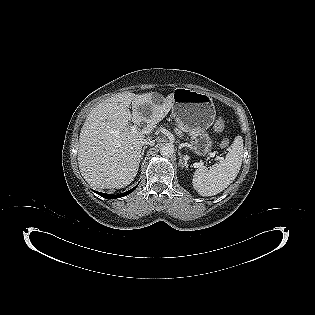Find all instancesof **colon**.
<instances>
[{"label":"colon","mask_w":315,"mask_h":315,"mask_svg":"<svg viewBox=\"0 0 315 315\" xmlns=\"http://www.w3.org/2000/svg\"><path fill=\"white\" fill-rule=\"evenodd\" d=\"M226 123L222 118H218L214 123V129L218 132H221L225 129ZM219 144L222 148H227L230 144V141L228 138L223 137L220 139Z\"/></svg>","instance_id":"obj_1"}]
</instances>
